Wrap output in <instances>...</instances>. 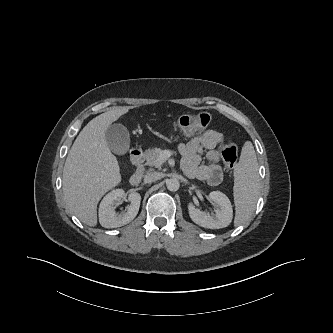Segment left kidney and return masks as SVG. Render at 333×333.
<instances>
[{"label":"left kidney","instance_id":"1","mask_svg":"<svg viewBox=\"0 0 333 333\" xmlns=\"http://www.w3.org/2000/svg\"><path fill=\"white\" fill-rule=\"evenodd\" d=\"M209 198L219 205L214 216L196 209L192 203L188 204L189 215L192 221L201 227L220 229L227 227L233 217L232 205L229 198L220 191H212Z\"/></svg>","mask_w":333,"mask_h":333}]
</instances>
